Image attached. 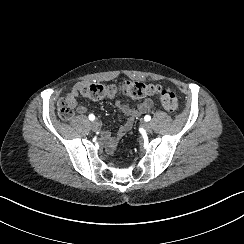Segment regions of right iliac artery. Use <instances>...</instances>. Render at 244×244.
Instances as JSON below:
<instances>
[{
	"label": "right iliac artery",
	"instance_id": "1",
	"mask_svg": "<svg viewBox=\"0 0 244 244\" xmlns=\"http://www.w3.org/2000/svg\"><path fill=\"white\" fill-rule=\"evenodd\" d=\"M95 119V116L93 114L89 115V120L93 121Z\"/></svg>",
	"mask_w": 244,
	"mask_h": 244
}]
</instances>
